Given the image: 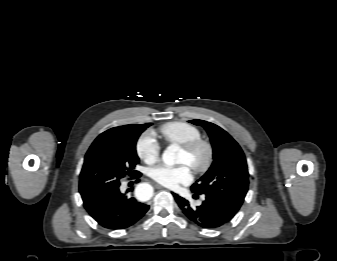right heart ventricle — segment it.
<instances>
[{"label": "right heart ventricle", "instance_id": "e07e8e85", "mask_svg": "<svg viewBox=\"0 0 337 261\" xmlns=\"http://www.w3.org/2000/svg\"><path fill=\"white\" fill-rule=\"evenodd\" d=\"M160 136L168 144H184L201 137L200 130L187 122L172 121L163 124L158 129Z\"/></svg>", "mask_w": 337, "mask_h": 261}]
</instances>
